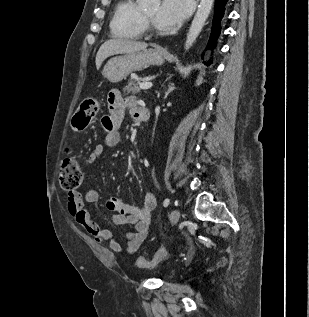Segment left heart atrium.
<instances>
[{"mask_svg":"<svg viewBox=\"0 0 309 317\" xmlns=\"http://www.w3.org/2000/svg\"><path fill=\"white\" fill-rule=\"evenodd\" d=\"M188 12L187 0H163L155 18V23L162 30H174L187 17Z\"/></svg>","mask_w":309,"mask_h":317,"instance_id":"obj_1","label":"left heart atrium"}]
</instances>
